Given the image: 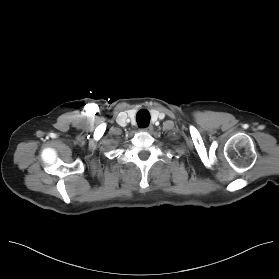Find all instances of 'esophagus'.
Here are the masks:
<instances>
[{
    "mask_svg": "<svg viewBox=\"0 0 279 279\" xmlns=\"http://www.w3.org/2000/svg\"><path fill=\"white\" fill-rule=\"evenodd\" d=\"M152 130H153L152 125L144 127V128L141 129V131H143V132H151Z\"/></svg>",
    "mask_w": 279,
    "mask_h": 279,
    "instance_id": "1",
    "label": "esophagus"
}]
</instances>
